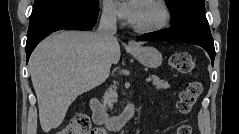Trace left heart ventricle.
I'll list each match as a JSON object with an SVG mask.
<instances>
[{
	"instance_id": "1",
	"label": "left heart ventricle",
	"mask_w": 239,
	"mask_h": 134,
	"mask_svg": "<svg viewBox=\"0 0 239 134\" xmlns=\"http://www.w3.org/2000/svg\"><path fill=\"white\" fill-rule=\"evenodd\" d=\"M160 18L159 12L146 1H141L140 12L135 21L136 26L152 25Z\"/></svg>"
}]
</instances>
